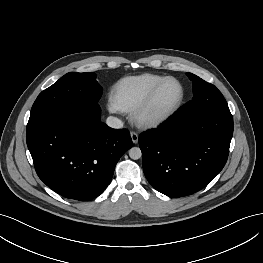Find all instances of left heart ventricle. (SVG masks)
Wrapping results in <instances>:
<instances>
[{
  "label": "left heart ventricle",
  "mask_w": 263,
  "mask_h": 263,
  "mask_svg": "<svg viewBox=\"0 0 263 263\" xmlns=\"http://www.w3.org/2000/svg\"><path fill=\"white\" fill-rule=\"evenodd\" d=\"M180 96V85L174 80L167 81L156 95L150 113H161L171 109L176 105Z\"/></svg>",
  "instance_id": "obj_1"
}]
</instances>
